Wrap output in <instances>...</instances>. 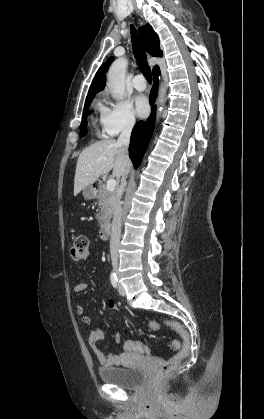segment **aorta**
Returning <instances> with one entry per match:
<instances>
[{
	"mask_svg": "<svg viewBox=\"0 0 264 419\" xmlns=\"http://www.w3.org/2000/svg\"><path fill=\"white\" fill-rule=\"evenodd\" d=\"M127 68V60L119 58L110 66L107 73V86L112 96L118 100L123 99L125 93V72ZM165 102V89L163 85L159 91L158 97V116L161 115Z\"/></svg>",
	"mask_w": 264,
	"mask_h": 419,
	"instance_id": "aorta-1",
	"label": "aorta"
}]
</instances>
